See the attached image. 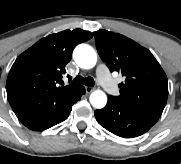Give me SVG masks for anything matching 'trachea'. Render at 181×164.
<instances>
[{
  "label": "trachea",
  "instance_id": "obj_1",
  "mask_svg": "<svg viewBox=\"0 0 181 164\" xmlns=\"http://www.w3.org/2000/svg\"><path fill=\"white\" fill-rule=\"evenodd\" d=\"M83 84H85L86 86L93 87L95 85V81L92 77L83 78L82 76H77L71 82V85L73 86H81Z\"/></svg>",
  "mask_w": 181,
  "mask_h": 164
}]
</instances>
